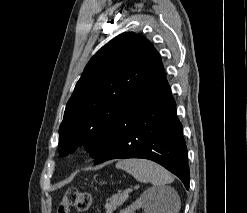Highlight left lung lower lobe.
<instances>
[{
	"mask_svg": "<svg viewBox=\"0 0 247 213\" xmlns=\"http://www.w3.org/2000/svg\"><path fill=\"white\" fill-rule=\"evenodd\" d=\"M123 158L155 161L189 189L187 148L162 63L148 70L135 97L126 103L95 164Z\"/></svg>",
	"mask_w": 247,
	"mask_h": 213,
	"instance_id": "left-lung-lower-lobe-1",
	"label": "left lung lower lobe"
}]
</instances>
